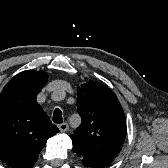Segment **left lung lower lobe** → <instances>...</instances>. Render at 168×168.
<instances>
[{"mask_svg":"<svg viewBox=\"0 0 168 168\" xmlns=\"http://www.w3.org/2000/svg\"><path fill=\"white\" fill-rule=\"evenodd\" d=\"M85 166H87V165H85ZM87 167L95 168V167H92V166H87Z\"/></svg>","mask_w":168,"mask_h":168,"instance_id":"obj_1","label":"left lung lower lobe"}]
</instances>
